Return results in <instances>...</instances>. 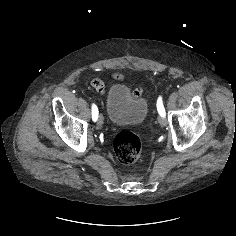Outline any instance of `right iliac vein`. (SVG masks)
I'll return each instance as SVG.
<instances>
[{"mask_svg": "<svg viewBox=\"0 0 236 236\" xmlns=\"http://www.w3.org/2000/svg\"><path fill=\"white\" fill-rule=\"evenodd\" d=\"M98 124L99 125L103 124V116L101 114L98 116Z\"/></svg>", "mask_w": 236, "mask_h": 236, "instance_id": "1", "label": "right iliac vein"}]
</instances>
